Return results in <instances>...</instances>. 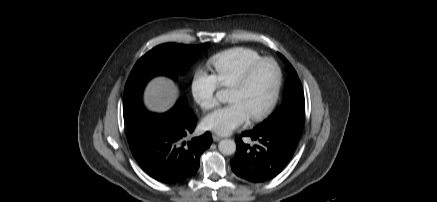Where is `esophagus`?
<instances>
[{
    "instance_id": "34e87169",
    "label": "esophagus",
    "mask_w": 437,
    "mask_h": 202,
    "mask_svg": "<svg viewBox=\"0 0 437 202\" xmlns=\"http://www.w3.org/2000/svg\"><path fill=\"white\" fill-rule=\"evenodd\" d=\"M212 138H213V141H215V142L220 141L222 139V137L217 135V134H213Z\"/></svg>"
}]
</instances>
